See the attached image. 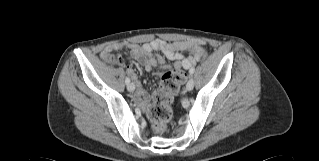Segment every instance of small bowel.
<instances>
[{
	"label": "small bowel",
	"mask_w": 319,
	"mask_h": 161,
	"mask_svg": "<svg viewBox=\"0 0 319 161\" xmlns=\"http://www.w3.org/2000/svg\"><path fill=\"white\" fill-rule=\"evenodd\" d=\"M125 47L122 43H115L105 47L103 54L107 55L113 51L121 50ZM132 56L138 60L147 71H151L154 68L165 69V58L175 61V67L182 70V81H186L185 71L196 64L201 58L204 47L201 42H185V41H165L162 39H153L144 44H130L128 45ZM185 51H190L188 56L184 55ZM153 52H161L162 55H153ZM133 80L134 86H136V95L134 102L138 105H146L149 97L142 85L137 79L136 72L133 68L126 70Z\"/></svg>",
	"instance_id": "1"
}]
</instances>
